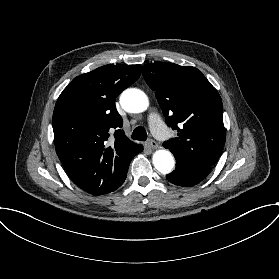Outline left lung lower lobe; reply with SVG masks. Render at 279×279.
<instances>
[{"instance_id":"1","label":"left lung lower lobe","mask_w":279,"mask_h":279,"mask_svg":"<svg viewBox=\"0 0 279 279\" xmlns=\"http://www.w3.org/2000/svg\"><path fill=\"white\" fill-rule=\"evenodd\" d=\"M176 170L166 176L173 184L190 187L200 183L210 173L212 167L200 165L185 159H177Z\"/></svg>"}]
</instances>
